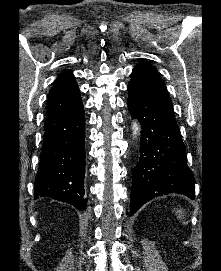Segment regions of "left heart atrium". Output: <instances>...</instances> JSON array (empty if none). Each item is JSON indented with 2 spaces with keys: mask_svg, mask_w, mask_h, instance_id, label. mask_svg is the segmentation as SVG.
<instances>
[{
  "mask_svg": "<svg viewBox=\"0 0 221 271\" xmlns=\"http://www.w3.org/2000/svg\"><path fill=\"white\" fill-rule=\"evenodd\" d=\"M94 94H105V92H93ZM143 94V93H140Z\"/></svg>",
  "mask_w": 221,
  "mask_h": 271,
  "instance_id": "39dd6f15",
  "label": "left heart atrium"
}]
</instances>
